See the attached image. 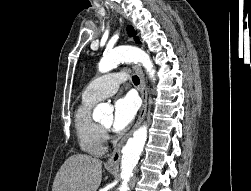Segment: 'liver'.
<instances>
[{
    "instance_id": "6515ba94",
    "label": "liver",
    "mask_w": 251,
    "mask_h": 191,
    "mask_svg": "<svg viewBox=\"0 0 251 191\" xmlns=\"http://www.w3.org/2000/svg\"><path fill=\"white\" fill-rule=\"evenodd\" d=\"M101 179V159L85 153H75L58 169L52 191H96Z\"/></svg>"
}]
</instances>
